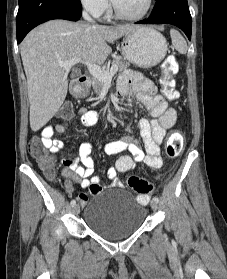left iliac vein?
Instances as JSON below:
<instances>
[{"instance_id": "1", "label": "left iliac vein", "mask_w": 227, "mask_h": 279, "mask_svg": "<svg viewBox=\"0 0 227 279\" xmlns=\"http://www.w3.org/2000/svg\"><path fill=\"white\" fill-rule=\"evenodd\" d=\"M150 205L153 210L156 211L158 209V203L156 201L152 200Z\"/></svg>"}]
</instances>
